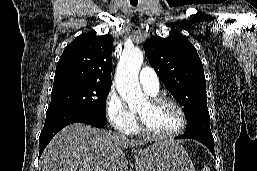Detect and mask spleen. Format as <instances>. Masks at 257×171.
Wrapping results in <instances>:
<instances>
[{"label": "spleen", "mask_w": 257, "mask_h": 171, "mask_svg": "<svg viewBox=\"0 0 257 171\" xmlns=\"http://www.w3.org/2000/svg\"><path fill=\"white\" fill-rule=\"evenodd\" d=\"M202 171H210V168L208 166H205Z\"/></svg>", "instance_id": "1"}]
</instances>
